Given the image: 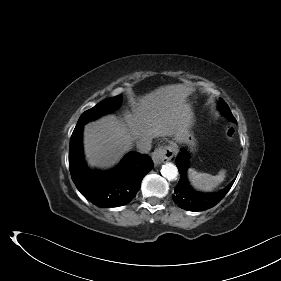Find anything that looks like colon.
Segmentation results:
<instances>
[{
	"instance_id": "obj_1",
	"label": "colon",
	"mask_w": 281,
	"mask_h": 281,
	"mask_svg": "<svg viewBox=\"0 0 281 281\" xmlns=\"http://www.w3.org/2000/svg\"><path fill=\"white\" fill-rule=\"evenodd\" d=\"M226 134H227V137H228L229 139H231V138L233 137V130L230 129V128H227V129H226Z\"/></svg>"
}]
</instances>
